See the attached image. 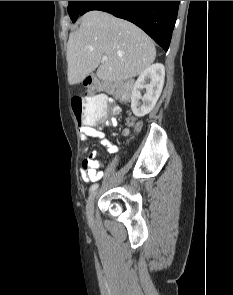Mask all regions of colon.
<instances>
[{
	"label": "colon",
	"instance_id": "obj_1",
	"mask_svg": "<svg viewBox=\"0 0 233 295\" xmlns=\"http://www.w3.org/2000/svg\"><path fill=\"white\" fill-rule=\"evenodd\" d=\"M87 96L85 98L74 97L71 101L73 113L79 124L94 123L105 117L110 109L105 94L115 96H129L134 87L132 81L99 82L88 78L85 81ZM130 126L137 127L132 121Z\"/></svg>",
	"mask_w": 233,
	"mask_h": 295
}]
</instances>
